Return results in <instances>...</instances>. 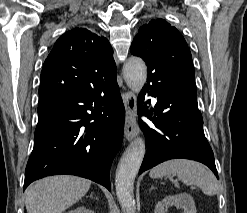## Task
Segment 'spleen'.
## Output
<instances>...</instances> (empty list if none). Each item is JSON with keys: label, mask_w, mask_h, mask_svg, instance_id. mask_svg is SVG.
<instances>
[{"label": "spleen", "mask_w": 247, "mask_h": 213, "mask_svg": "<svg viewBox=\"0 0 247 213\" xmlns=\"http://www.w3.org/2000/svg\"><path fill=\"white\" fill-rule=\"evenodd\" d=\"M176 175L186 185L198 186L205 195L214 196L219 186L216 177L202 164L185 159H174L163 162L150 171L152 178Z\"/></svg>", "instance_id": "3e777b00"}]
</instances>
